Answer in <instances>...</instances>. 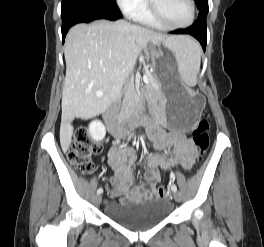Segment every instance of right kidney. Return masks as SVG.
<instances>
[{"instance_id":"ca27d5eb","label":"right kidney","mask_w":264,"mask_h":247,"mask_svg":"<svg viewBox=\"0 0 264 247\" xmlns=\"http://www.w3.org/2000/svg\"><path fill=\"white\" fill-rule=\"evenodd\" d=\"M88 132L93 140L100 141L106 135V128L101 121L94 120L89 124Z\"/></svg>"}]
</instances>
